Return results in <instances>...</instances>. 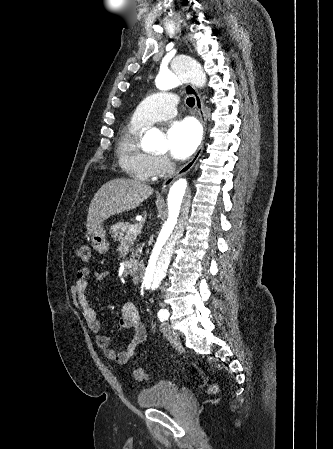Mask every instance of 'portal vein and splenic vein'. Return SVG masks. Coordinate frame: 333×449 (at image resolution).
Wrapping results in <instances>:
<instances>
[{
	"instance_id": "1",
	"label": "portal vein and splenic vein",
	"mask_w": 333,
	"mask_h": 449,
	"mask_svg": "<svg viewBox=\"0 0 333 449\" xmlns=\"http://www.w3.org/2000/svg\"><path fill=\"white\" fill-rule=\"evenodd\" d=\"M139 225L138 224H135V225H133V226H131L130 227V229H129V231L131 232V233H137L138 231H139Z\"/></svg>"
}]
</instances>
